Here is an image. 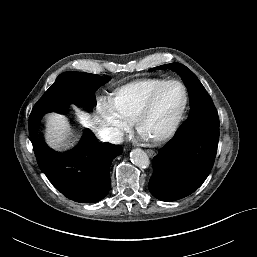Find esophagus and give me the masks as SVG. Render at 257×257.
I'll return each mask as SVG.
<instances>
[{"instance_id": "34e87169", "label": "esophagus", "mask_w": 257, "mask_h": 257, "mask_svg": "<svg viewBox=\"0 0 257 257\" xmlns=\"http://www.w3.org/2000/svg\"><path fill=\"white\" fill-rule=\"evenodd\" d=\"M146 153L150 156V157H154L155 156V152L153 150L147 149L145 150Z\"/></svg>"}]
</instances>
